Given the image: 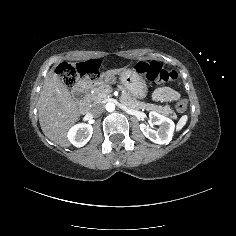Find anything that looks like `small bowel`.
I'll use <instances>...</instances> for the list:
<instances>
[{
  "label": "small bowel",
  "mask_w": 236,
  "mask_h": 236,
  "mask_svg": "<svg viewBox=\"0 0 236 236\" xmlns=\"http://www.w3.org/2000/svg\"><path fill=\"white\" fill-rule=\"evenodd\" d=\"M180 94L168 87H162L154 91L153 98L156 101H174L179 99Z\"/></svg>",
  "instance_id": "small-bowel-1"
}]
</instances>
